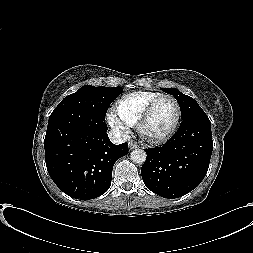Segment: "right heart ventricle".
Here are the masks:
<instances>
[{
  "instance_id": "e07e8e85",
  "label": "right heart ventricle",
  "mask_w": 253,
  "mask_h": 253,
  "mask_svg": "<svg viewBox=\"0 0 253 253\" xmlns=\"http://www.w3.org/2000/svg\"><path fill=\"white\" fill-rule=\"evenodd\" d=\"M161 95L163 94L152 91H139L125 95L116 103V114L128 127H136L146 107Z\"/></svg>"
}]
</instances>
